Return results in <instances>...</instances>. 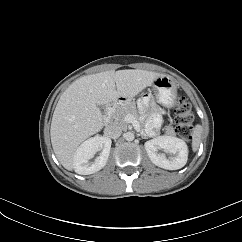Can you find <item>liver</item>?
Returning <instances> with one entry per match:
<instances>
[{"instance_id":"1","label":"liver","mask_w":242,"mask_h":242,"mask_svg":"<svg viewBox=\"0 0 242 242\" xmlns=\"http://www.w3.org/2000/svg\"><path fill=\"white\" fill-rule=\"evenodd\" d=\"M162 76L165 75L128 69L100 72L74 81L61 95L50 129L52 147L62 166L73 170L78 146L103 128L98 105L120 97L129 100Z\"/></svg>"}]
</instances>
